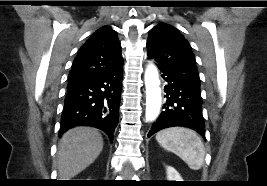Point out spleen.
Listing matches in <instances>:
<instances>
[{"instance_id": "1", "label": "spleen", "mask_w": 267, "mask_h": 186, "mask_svg": "<svg viewBox=\"0 0 267 186\" xmlns=\"http://www.w3.org/2000/svg\"><path fill=\"white\" fill-rule=\"evenodd\" d=\"M156 140L164 149L179 156L190 169H201L205 148L195 131L183 127H172L158 132Z\"/></svg>"}]
</instances>
